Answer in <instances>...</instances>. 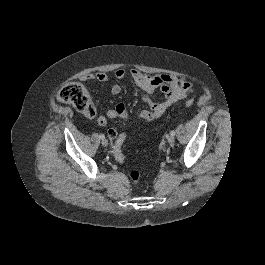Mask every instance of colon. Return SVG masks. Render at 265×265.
<instances>
[{"label": "colon", "mask_w": 265, "mask_h": 265, "mask_svg": "<svg viewBox=\"0 0 265 265\" xmlns=\"http://www.w3.org/2000/svg\"><path fill=\"white\" fill-rule=\"evenodd\" d=\"M57 98L59 101L72 105L79 112L85 115L88 118H94L96 116V109L92 104L90 97L85 89V87L78 82H70L61 87V89L57 93ZM187 107H191L193 105V100L189 99L185 102ZM109 136H112L114 140L112 145V152L115 159L124 163L125 158L123 155V144L126 139V134L121 133L120 135H114L112 131L108 130ZM130 178L133 183L137 184L141 178V172L139 170H132L130 172Z\"/></svg>", "instance_id": "obj_1"}]
</instances>
